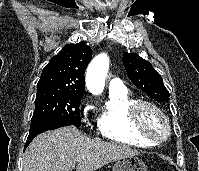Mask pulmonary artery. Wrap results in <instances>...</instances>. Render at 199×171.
<instances>
[{
  "instance_id": "1",
  "label": "pulmonary artery",
  "mask_w": 199,
  "mask_h": 171,
  "mask_svg": "<svg viewBox=\"0 0 199 171\" xmlns=\"http://www.w3.org/2000/svg\"><path fill=\"white\" fill-rule=\"evenodd\" d=\"M124 85L118 78H112L109 82V90L115 91V90H121L124 89Z\"/></svg>"
}]
</instances>
